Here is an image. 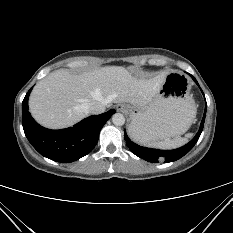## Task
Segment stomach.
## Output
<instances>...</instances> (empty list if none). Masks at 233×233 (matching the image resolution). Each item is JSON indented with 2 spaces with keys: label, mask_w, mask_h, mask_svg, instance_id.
Here are the masks:
<instances>
[{
  "label": "stomach",
  "mask_w": 233,
  "mask_h": 233,
  "mask_svg": "<svg viewBox=\"0 0 233 233\" xmlns=\"http://www.w3.org/2000/svg\"><path fill=\"white\" fill-rule=\"evenodd\" d=\"M189 77L171 71L152 99L145 106L125 105L131 119L129 129L141 144H150L184 134L191 126L196 106L190 96Z\"/></svg>",
  "instance_id": "0dacf381"
}]
</instances>
